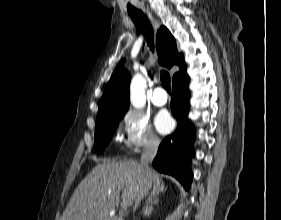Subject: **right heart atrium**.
<instances>
[{
    "mask_svg": "<svg viewBox=\"0 0 281 220\" xmlns=\"http://www.w3.org/2000/svg\"><path fill=\"white\" fill-rule=\"evenodd\" d=\"M122 131V142L132 151L154 148L160 143L148 117L138 111L131 110L125 114Z\"/></svg>",
    "mask_w": 281,
    "mask_h": 220,
    "instance_id": "obj_1",
    "label": "right heart atrium"
}]
</instances>
